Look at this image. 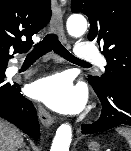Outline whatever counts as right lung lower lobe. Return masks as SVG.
I'll return each instance as SVG.
<instances>
[{
  "mask_svg": "<svg viewBox=\"0 0 131 151\" xmlns=\"http://www.w3.org/2000/svg\"><path fill=\"white\" fill-rule=\"evenodd\" d=\"M6 67L8 61L5 62ZM0 117L8 120L32 138L40 137L39 122L33 103L21 94L16 82L0 77Z\"/></svg>",
  "mask_w": 131,
  "mask_h": 151,
  "instance_id": "98d812e1",
  "label": "right lung lower lobe"
}]
</instances>
